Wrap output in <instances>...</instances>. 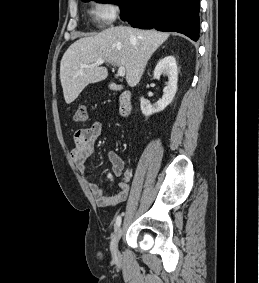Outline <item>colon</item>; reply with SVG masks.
<instances>
[{"instance_id": "obj_1", "label": "colon", "mask_w": 259, "mask_h": 283, "mask_svg": "<svg viewBox=\"0 0 259 283\" xmlns=\"http://www.w3.org/2000/svg\"><path fill=\"white\" fill-rule=\"evenodd\" d=\"M74 119L76 122H80V123L87 121V110L85 106L80 105L76 108Z\"/></svg>"}]
</instances>
